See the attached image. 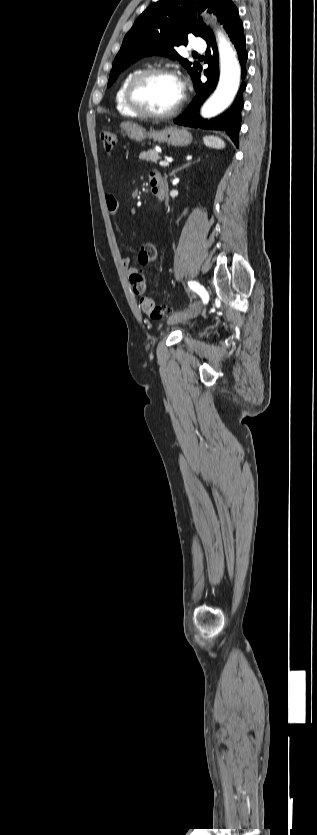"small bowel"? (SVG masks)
<instances>
[{"instance_id": "obj_1", "label": "small bowel", "mask_w": 317, "mask_h": 835, "mask_svg": "<svg viewBox=\"0 0 317 835\" xmlns=\"http://www.w3.org/2000/svg\"><path fill=\"white\" fill-rule=\"evenodd\" d=\"M154 180H157L164 185V182H163V179H162L161 175L158 172L153 171V172L150 173V182L154 181ZM105 202H106V208H107L109 214L115 216L119 211L118 200L115 198L114 195L107 194L106 197H105ZM152 246H153L152 244L147 243V244H143L142 247L140 248V251H139V254H138V260L141 264L146 265V264H149L152 261V260L149 259V251H150V248ZM121 264L130 274L136 272V268L132 266V262H131L130 258L123 257L121 259Z\"/></svg>"}]
</instances>
